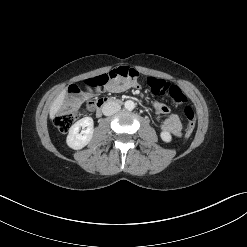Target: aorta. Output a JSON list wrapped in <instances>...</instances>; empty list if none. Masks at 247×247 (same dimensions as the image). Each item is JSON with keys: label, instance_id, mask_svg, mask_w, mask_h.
<instances>
[{"label": "aorta", "instance_id": "obj_1", "mask_svg": "<svg viewBox=\"0 0 247 247\" xmlns=\"http://www.w3.org/2000/svg\"><path fill=\"white\" fill-rule=\"evenodd\" d=\"M124 106L127 110H133L135 108V103L131 100H127Z\"/></svg>", "mask_w": 247, "mask_h": 247}]
</instances>
